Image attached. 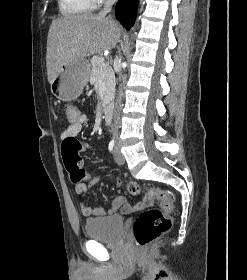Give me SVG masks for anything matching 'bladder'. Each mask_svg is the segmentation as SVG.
<instances>
[{
    "mask_svg": "<svg viewBox=\"0 0 247 280\" xmlns=\"http://www.w3.org/2000/svg\"><path fill=\"white\" fill-rule=\"evenodd\" d=\"M123 227L122 216H102L87 219L84 224V233L91 240L112 242L119 238Z\"/></svg>",
    "mask_w": 247,
    "mask_h": 280,
    "instance_id": "obj_1",
    "label": "bladder"
}]
</instances>
